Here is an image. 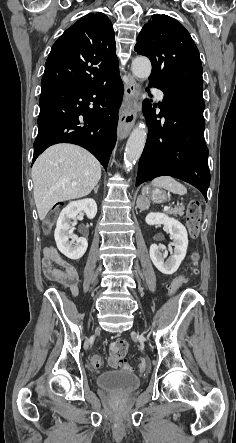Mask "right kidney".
<instances>
[{
  "label": "right kidney",
  "instance_id": "obj_1",
  "mask_svg": "<svg viewBox=\"0 0 236 443\" xmlns=\"http://www.w3.org/2000/svg\"><path fill=\"white\" fill-rule=\"evenodd\" d=\"M81 212H84L89 219H93L97 213L95 200L87 198L70 202L61 211L54 232L57 248L72 260L80 259L88 247L85 238H78L73 234L74 226L77 224V215ZM69 239L72 240L69 241Z\"/></svg>",
  "mask_w": 236,
  "mask_h": 443
}]
</instances>
